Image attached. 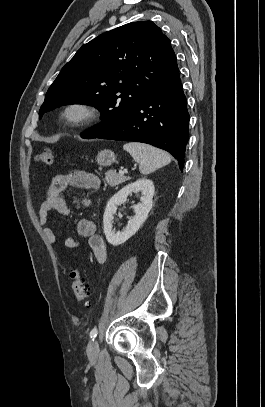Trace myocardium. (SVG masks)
I'll list each match as a JSON object with an SVG mask.
<instances>
[{
	"instance_id": "1",
	"label": "myocardium",
	"mask_w": 265,
	"mask_h": 407,
	"mask_svg": "<svg viewBox=\"0 0 265 407\" xmlns=\"http://www.w3.org/2000/svg\"><path fill=\"white\" fill-rule=\"evenodd\" d=\"M102 116L101 109L92 102L72 100L59 111L61 122L68 128L79 129L97 122Z\"/></svg>"
}]
</instances>
